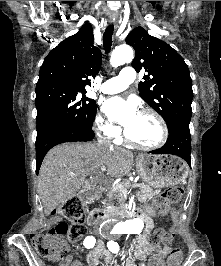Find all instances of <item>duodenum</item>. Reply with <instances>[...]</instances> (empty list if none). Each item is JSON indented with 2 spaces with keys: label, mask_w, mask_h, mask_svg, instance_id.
Here are the masks:
<instances>
[{
  "label": "duodenum",
  "mask_w": 221,
  "mask_h": 266,
  "mask_svg": "<svg viewBox=\"0 0 221 266\" xmlns=\"http://www.w3.org/2000/svg\"><path fill=\"white\" fill-rule=\"evenodd\" d=\"M98 193H100V190L96 192L89 190L83 194V198L87 200ZM133 211V209L127 210L125 207H115L114 211H105L104 209L92 210L87 215V223L92 226L98 223L100 220L108 218L109 216H128L129 214L133 213Z\"/></svg>",
  "instance_id": "1"
}]
</instances>
